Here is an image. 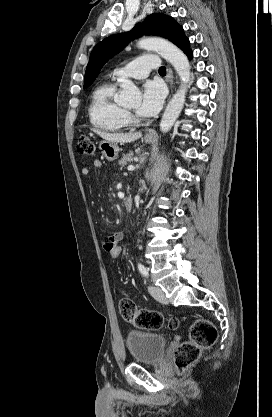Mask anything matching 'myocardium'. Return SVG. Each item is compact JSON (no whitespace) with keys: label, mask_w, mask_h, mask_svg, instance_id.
I'll use <instances>...</instances> for the list:
<instances>
[{"label":"myocardium","mask_w":272,"mask_h":417,"mask_svg":"<svg viewBox=\"0 0 272 417\" xmlns=\"http://www.w3.org/2000/svg\"><path fill=\"white\" fill-rule=\"evenodd\" d=\"M126 114H127L128 116H130V113H129V112H126Z\"/></svg>","instance_id":"f54148a6"}]
</instances>
